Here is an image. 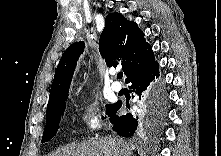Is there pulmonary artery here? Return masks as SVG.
<instances>
[{
	"instance_id": "pulmonary-artery-1",
	"label": "pulmonary artery",
	"mask_w": 221,
	"mask_h": 156,
	"mask_svg": "<svg viewBox=\"0 0 221 156\" xmlns=\"http://www.w3.org/2000/svg\"><path fill=\"white\" fill-rule=\"evenodd\" d=\"M111 87L114 91L118 92L122 89V84L118 81H114L112 82Z\"/></svg>"
}]
</instances>
